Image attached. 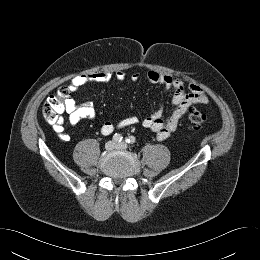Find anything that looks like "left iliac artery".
Returning a JSON list of instances; mask_svg holds the SVG:
<instances>
[{"instance_id":"1","label":"left iliac artery","mask_w":260,"mask_h":260,"mask_svg":"<svg viewBox=\"0 0 260 260\" xmlns=\"http://www.w3.org/2000/svg\"><path fill=\"white\" fill-rule=\"evenodd\" d=\"M125 142L128 144H133V143H135V137L129 136L128 138L125 139Z\"/></svg>"}]
</instances>
